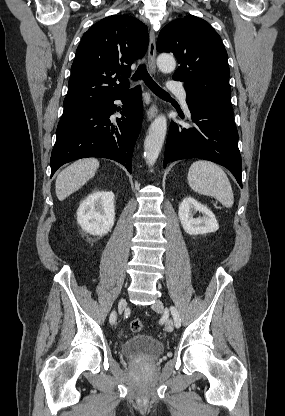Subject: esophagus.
Segmentation results:
<instances>
[{
  "mask_svg": "<svg viewBox=\"0 0 285 416\" xmlns=\"http://www.w3.org/2000/svg\"><path fill=\"white\" fill-rule=\"evenodd\" d=\"M156 42H155V33L154 30L151 29L149 33V47H148V63L150 67V71L152 73H156ZM158 112V108L155 104L151 105L150 108L147 110V120H152Z\"/></svg>",
  "mask_w": 285,
  "mask_h": 416,
  "instance_id": "obj_1",
  "label": "esophagus"
}]
</instances>
